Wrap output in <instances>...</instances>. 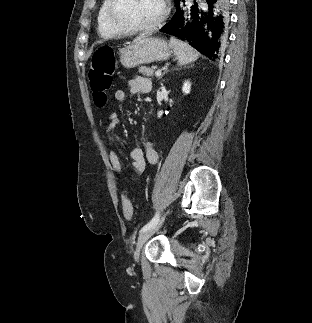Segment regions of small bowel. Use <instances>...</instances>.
<instances>
[{
    "label": "small bowel",
    "mask_w": 312,
    "mask_h": 323,
    "mask_svg": "<svg viewBox=\"0 0 312 323\" xmlns=\"http://www.w3.org/2000/svg\"><path fill=\"white\" fill-rule=\"evenodd\" d=\"M129 91L133 94L148 93L152 89V84L149 78L144 76H136L128 83ZM114 98L118 103H124L128 99V94L123 89H118L114 92ZM124 117L117 112H112L108 117L107 126L105 128V136L109 137L115 129L123 122ZM131 159L136 172L142 173L145 169L146 162L156 164L159 160V154L156 148L146 142L144 148L135 147L131 150ZM108 159L112 170L123 172L122 163L113 149L108 151Z\"/></svg>",
    "instance_id": "c3829d8e"
}]
</instances>
